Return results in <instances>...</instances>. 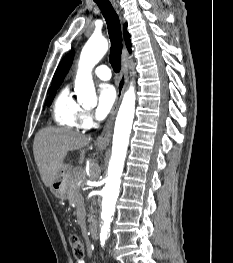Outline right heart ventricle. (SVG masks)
Returning <instances> with one entry per match:
<instances>
[{
	"mask_svg": "<svg viewBox=\"0 0 233 263\" xmlns=\"http://www.w3.org/2000/svg\"><path fill=\"white\" fill-rule=\"evenodd\" d=\"M81 105L73 98L68 87L63 88L55 99L53 117L57 124L78 129L81 128L79 117Z\"/></svg>",
	"mask_w": 233,
	"mask_h": 263,
	"instance_id": "right-heart-ventricle-1",
	"label": "right heart ventricle"
}]
</instances>
